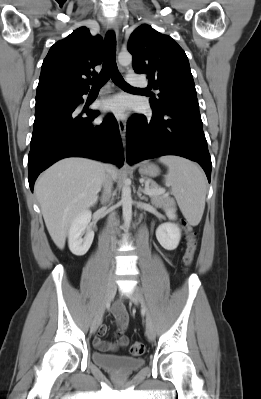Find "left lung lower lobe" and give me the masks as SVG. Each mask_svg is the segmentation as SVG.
Wrapping results in <instances>:
<instances>
[{
  "label": "left lung lower lobe",
  "mask_w": 261,
  "mask_h": 399,
  "mask_svg": "<svg viewBox=\"0 0 261 399\" xmlns=\"http://www.w3.org/2000/svg\"><path fill=\"white\" fill-rule=\"evenodd\" d=\"M127 162L133 164L163 155L196 161L211 177V157L202 129L199 106L180 104L153 116L135 115L128 121Z\"/></svg>",
  "instance_id": "left-lung-lower-lobe-1"
}]
</instances>
